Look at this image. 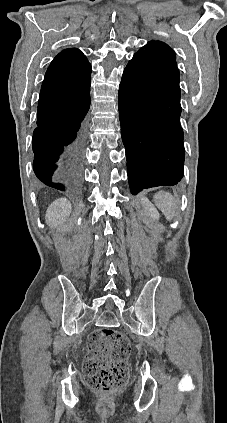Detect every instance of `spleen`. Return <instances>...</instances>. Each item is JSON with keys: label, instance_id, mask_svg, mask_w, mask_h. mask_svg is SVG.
I'll return each instance as SVG.
<instances>
[{"label": "spleen", "instance_id": "obj_1", "mask_svg": "<svg viewBox=\"0 0 227 423\" xmlns=\"http://www.w3.org/2000/svg\"><path fill=\"white\" fill-rule=\"evenodd\" d=\"M154 204L159 210L163 211L169 221L175 217L179 208V202L169 192H157L154 196Z\"/></svg>", "mask_w": 227, "mask_h": 423}]
</instances>
